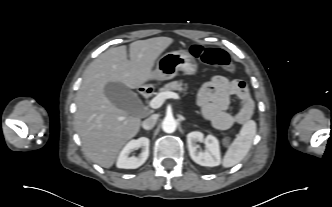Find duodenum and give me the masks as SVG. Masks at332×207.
Masks as SVG:
<instances>
[{
	"label": "duodenum",
	"mask_w": 332,
	"mask_h": 207,
	"mask_svg": "<svg viewBox=\"0 0 332 207\" xmlns=\"http://www.w3.org/2000/svg\"><path fill=\"white\" fill-rule=\"evenodd\" d=\"M140 95L142 97H146L148 95L147 89L145 88L140 89Z\"/></svg>",
	"instance_id": "obj_1"
}]
</instances>
